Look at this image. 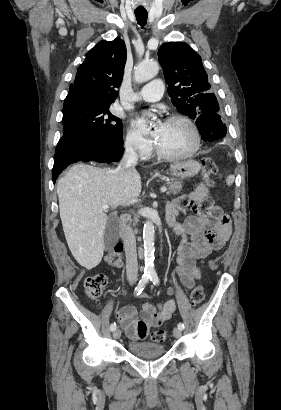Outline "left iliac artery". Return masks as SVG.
Instances as JSON below:
<instances>
[{"instance_id": "1", "label": "left iliac artery", "mask_w": 281, "mask_h": 410, "mask_svg": "<svg viewBox=\"0 0 281 410\" xmlns=\"http://www.w3.org/2000/svg\"><path fill=\"white\" fill-rule=\"evenodd\" d=\"M150 280L153 282L154 285H159V278L156 272H152L150 274ZM178 328L183 330L184 329V324L183 323H179L178 324Z\"/></svg>"}]
</instances>
